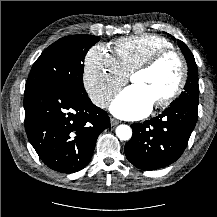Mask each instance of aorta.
I'll return each instance as SVG.
<instances>
[{
  "instance_id": "aorta-1",
  "label": "aorta",
  "mask_w": 217,
  "mask_h": 217,
  "mask_svg": "<svg viewBox=\"0 0 217 217\" xmlns=\"http://www.w3.org/2000/svg\"><path fill=\"white\" fill-rule=\"evenodd\" d=\"M116 135L120 140L127 141L132 137V129L128 125H119L116 128Z\"/></svg>"
}]
</instances>
